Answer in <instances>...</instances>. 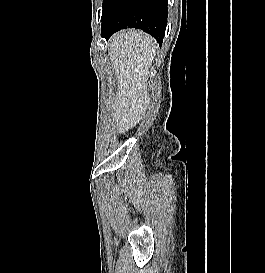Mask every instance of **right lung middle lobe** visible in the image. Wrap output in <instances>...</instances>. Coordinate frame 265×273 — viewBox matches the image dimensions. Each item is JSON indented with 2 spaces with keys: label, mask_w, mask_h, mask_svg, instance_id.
I'll return each instance as SVG.
<instances>
[{
  "label": "right lung middle lobe",
  "mask_w": 265,
  "mask_h": 273,
  "mask_svg": "<svg viewBox=\"0 0 265 273\" xmlns=\"http://www.w3.org/2000/svg\"><path fill=\"white\" fill-rule=\"evenodd\" d=\"M114 0H103V11H102V18H101V21L104 20V18L106 17V15L108 14L109 12V9L112 5Z\"/></svg>",
  "instance_id": "1"
}]
</instances>
